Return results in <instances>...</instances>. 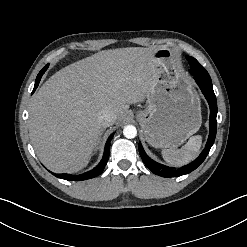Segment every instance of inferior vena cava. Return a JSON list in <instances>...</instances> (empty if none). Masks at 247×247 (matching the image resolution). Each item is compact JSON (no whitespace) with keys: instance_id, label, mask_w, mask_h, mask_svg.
<instances>
[{"instance_id":"1","label":"inferior vena cava","mask_w":247,"mask_h":247,"mask_svg":"<svg viewBox=\"0 0 247 247\" xmlns=\"http://www.w3.org/2000/svg\"><path fill=\"white\" fill-rule=\"evenodd\" d=\"M116 120V115L110 110H103L99 116L98 121L102 127H109L114 124Z\"/></svg>"}]
</instances>
